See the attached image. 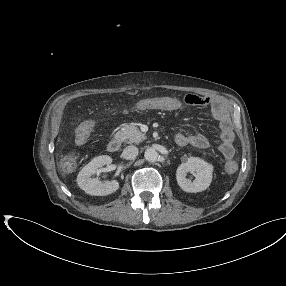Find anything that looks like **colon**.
<instances>
[{"label": "colon", "mask_w": 286, "mask_h": 286, "mask_svg": "<svg viewBox=\"0 0 286 286\" xmlns=\"http://www.w3.org/2000/svg\"><path fill=\"white\" fill-rule=\"evenodd\" d=\"M91 130L92 129H91L90 125L83 123L78 128V131L76 134V142L78 144L84 143L87 140ZM63 162L67 167H73L76 163V157L72 154H68L64 157ZM226 169L228 172H233L236 169V164L234 162H229L226 165Z\"/></svg>", "instance_id": "obj_1"}]
</instances>
